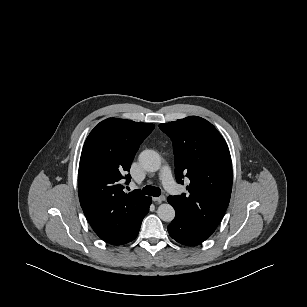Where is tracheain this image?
Wrapping results in <instances>:
<instances>
[{
	"instance_id": "trachea-1",
	"label": "trachea",
	"mask_w": 307,
	"mask_h": 307,
	"mask_svg": "<svg viewBox=\"0 0 307 307\" xmlns=\"http://www.w3.org/2000/svg\"><path fill=\"white\" fill-rule=\"evenodd\" d=\"M146 195L158 197L161 194V190L154 186H145L142 191Z\"/></svg>"
}]
</instances>
